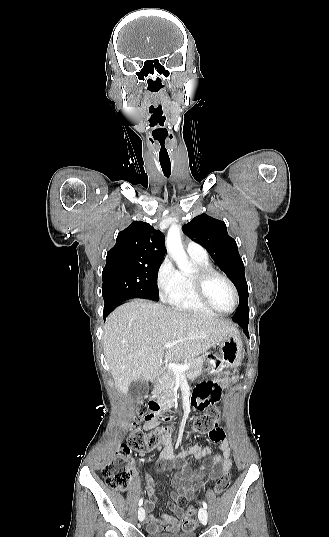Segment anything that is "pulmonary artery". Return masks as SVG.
Listing matches in <instances>:
<instances>
[{"label": "pulmonary artery", "instance_id": "pulmonary-artery-1", "mask_svg": "<svg viewBox=\"0 0 329 537\" xmlns=\"http://www.w3.org/2000/svg\"><path fill=\"white\" fill-rule=\"evenodd\" d=\"M186 251L191 257L206 259V250L196 242H188L186 245Z\"/></svg>", "mask_w": 329, "mask_h": 537}]
</instances>
